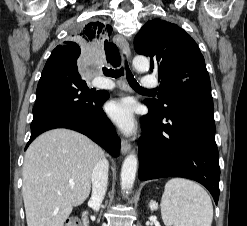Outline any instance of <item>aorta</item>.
Masks as SVG:
<instances>
[{
    "mask_svg": "<svg viewBox=\"0 0 247 226\" xmlns=\"http://www.w3.org/2000/svg\"><path fill=\"white\" fill-rule=\"evenodd\" d=\"M133 66L138 72L148 71L150 62L145 56H136L133 59ZM138 159L134 152L130 153L124 160L121 169V189L128 191L132 189L136 171H137Z\"/></svg>",
    "mask_w": 247,
    "mask_h": 226,
    "instance_id": "762f6f07",
    "label": "aorta"
}]
</instances>
